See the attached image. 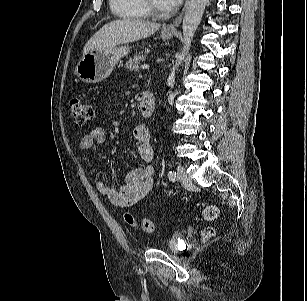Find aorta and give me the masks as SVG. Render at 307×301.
Listing matches in <instances>:
<instances>
[{"instance_id": "762f6f07", "label": "aorta", "mask_w": 307, "mask_h": 301, "mask_svg": "<svg viewBox=\"0 0 307 301\" xmlns=\"http://www.w3.org/2000/svg\"><path fill=\"white\" fill-rule=\"evenodd\" d=\"M208 0H189L183 17L182 31H183V49L181 53L176 56V62L171 69L170 75L167 79V85H172L175 82V73L181 65L188 50L190 49L194 34L201 22L206 4Z\"/></svg>"}]
</instances>
